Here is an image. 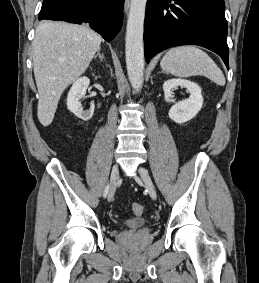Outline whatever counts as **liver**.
Here are the masks:
<instances>
[{
  "label": "liver",
  "instance_id": "liver-1",
  "mask_svg": "<svg viewBox=\"0 0 259 283\" xmlns=\"http://www.w3.org/2000/svg\"><path fill=\"white\" fill-rule=\"evenodd\" d=\"M102 38L87 25L44 21L33 41V67L38 89L37 116L43 126L54 119L63 91L88 68Z\"/></svg>",
  "mask_w": 259,
  "mask_h": 283
}]
</instances>
